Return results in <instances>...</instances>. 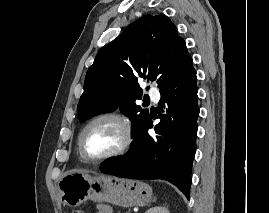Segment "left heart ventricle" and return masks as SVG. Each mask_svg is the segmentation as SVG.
I'll return each instance as SVG.
<instances>
[{"instance_id":"obj_1","label":"left heart ventricle","mask_w":270,"mask_h":213,"mask_svg":"<svg viewBox=\"0 0 270 213\" xmlns=\"http://www.w3.org/2000/svg\"><path fill=\"white\" fill-rule=\"evenodd\" d=\"M123 128L115 121L94 123L85 133L84 149L91 157H101L116 150L123 142Z\"/></svg>"}]
</instances>
